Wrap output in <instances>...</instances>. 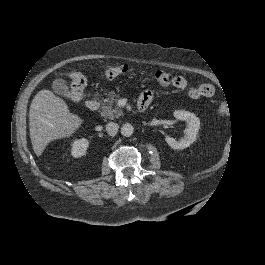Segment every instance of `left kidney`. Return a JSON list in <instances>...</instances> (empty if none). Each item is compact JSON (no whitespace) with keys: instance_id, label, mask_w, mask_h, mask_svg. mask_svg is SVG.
Instances as JSON below:
<instances>
[{"instance_id":"5707ae66","label":"left kidney","mask_w":265,"mask_h":265,"mask_svg":"<svg viewBox=\"0 0 265 265\" xmlns=\"http://www.w3.org/2000/svg\"><path fill=\"white\" fill-rule=\"evenodd\" d=\"M174 117L187 122L188 127L184 131L185 137L181 138L180 141H176L170 136H165L164 141L175 150L188 148L197 139L200 120L195 114L184 111H175Z\"/></svg>"}]
</instances>
